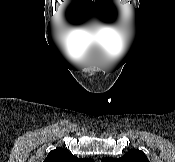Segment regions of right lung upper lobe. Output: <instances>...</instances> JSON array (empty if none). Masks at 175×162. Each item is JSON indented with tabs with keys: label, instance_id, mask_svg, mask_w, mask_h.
<instances>
[{
	"label": "right lung upper lobe",
	"instance_id": "right-lung-upper-lobe-1",
	"mask_svg": "<svg viewBox=\"0 0 175 162\" xmlns=\"http://www.w3.org/2000/svg\"><path fill=\"white\" fill-rule=\"evenodd\" d=\"M44 162H93V160L90 158H77L70 152L57 148L49 152Z\"/></svg>",
	"mask_w": 175,
	"mask_h": 162
}]
</instances>
